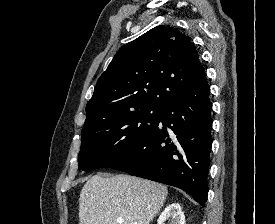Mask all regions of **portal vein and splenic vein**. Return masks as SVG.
<instances>
[{
	"label": "portal vein and splenic vein",
	"instance_id": "obj_1",
	"mask_svg": "<svg viewBox=\"0 0 275 224\" xmlns=\"http://www.w3.org/2000/svg\"><path fill=\"white\" fill-rule=\"evenodd\" d=\"M117 222H118V224H123L124 219L119 217V218H117ZM133 224H137V223H133Z\"/></svg>",
	"mask_w": 275,
	"mask_h": 224
}]
</instances>
